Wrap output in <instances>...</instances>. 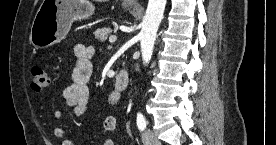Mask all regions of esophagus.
Listing matches in <instances>:
<instances>
[{"label":"esophagus","instance_id":"obj_1","mask_svg":"<svg viewBox=\"0 0 276 145\" xmlns=\"http://www.w3.org/2000/svg\"><path fill=\"white\" fill-rule=\"evenodd\" d=\"M125 3L130 4V5H138L137 0H125Z\"/></svg>","mask_w":276,"mask_h":145}]
</instances>
